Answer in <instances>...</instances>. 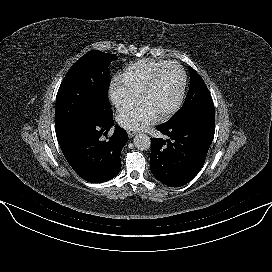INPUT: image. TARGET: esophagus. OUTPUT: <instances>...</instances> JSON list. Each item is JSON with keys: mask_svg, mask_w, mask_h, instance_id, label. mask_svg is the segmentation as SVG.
<instances>
[{"mask_svg": "<svg viewBox=\"0 0 272 272\" xmlns=\"http://www.w3.org/2000/svg\"><path fill=\"white\" fill-rule=\"evenodd\" d=\"M136 134H137V132H135V131H128L129 138L134 137Z\"/></svg>", "mask_w": 272, "mask_h": 272, "instance_id": "34e87169", "label": "esophagus"}]
</instances>
